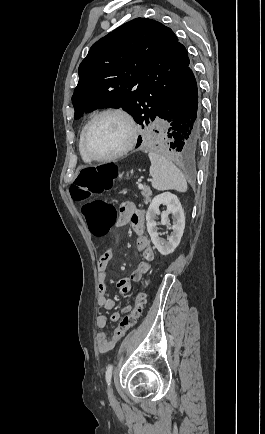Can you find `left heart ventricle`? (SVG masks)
Returning a JSON list of instances; mask_svg holds the SVG:
<instances>
[{"label":"left heart ventricle","mask_w":265,"mask_h":434,"mask_svg":"<svg viewBox=\"0 0 265 434\" xmlns=\"http://www.w3.org/2000/svg\"><path fill=\"white\" fill-rule=\"evenodd\" d=\"M129 133V125L122 116L104 115L92 126L86 141L87 149L96 157L110 156L127 144Z\"/></svg>","instance_id":"b2bd125f"}]
</instances>
